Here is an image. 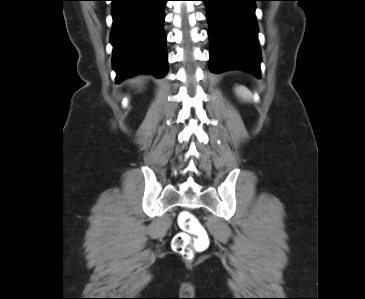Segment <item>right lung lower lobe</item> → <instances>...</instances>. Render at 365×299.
<instances>
[{"mask_svg":"<svg viewBox=\"0 0 365 299\" xmlns=\"http://www.w3.org/2000/svg\"><path fill=\"white\" fill-rule=\"evenodd\" d=\"M111 1L110 41L117 83L140 73L163 77L168 69L163 30L167 0Z\"/></svg>","mask_w":365,"mask_h":299,"instance_id":"obj_1","label":"right lung lower lobe"}]
</instances>
